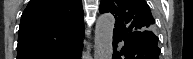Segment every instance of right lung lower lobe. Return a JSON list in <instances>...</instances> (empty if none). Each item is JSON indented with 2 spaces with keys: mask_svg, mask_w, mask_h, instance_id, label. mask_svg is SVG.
I'll return each mask as SVG.
<instances>
[{
  "mask_svg": "<svg viewBox=\"0 0 193 59\" xmlns=\"http://www.w3.org/2000/svg\"><path fill=\"white\" fill-rule=\"evenodd\" d=\"M83 48V40L81 39L74 45L65 49L61 53L48 57V59H80Z\"/></svg>",
  "mask_w": 193,
  "mask_h": 59,
  "instance_id": "obj_1",
  "label": "right lung lower lobe"
}]
</instances>
